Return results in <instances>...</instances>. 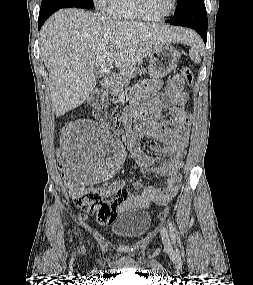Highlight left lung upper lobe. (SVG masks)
<instances>
[{
    "label": "left lung upper lobe",
    "mask_w": 253,
    "mask_h": 285,
    "mask_svg": "<svg viewBox=\"0 0 253 285\" xmlns=\"http://www.w3.org/2000/svg\"><path fill=\"white\" fill-rule=\"evenodd\" d=\"M194 1H196V0H178V2H177V10L174 13V15L179 13L180 11H182L186 6H188L189 4L193 3Z\"/></svg>",
    "instance_id": "left-lung-upper-lobe-1"
}]
</instances>
